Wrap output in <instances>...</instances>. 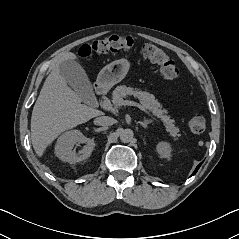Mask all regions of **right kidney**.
Returning <instances> with one entry per match:
<instances>
[{"instance_id": "right-kidney-1", "label": "right kidney", "mask_w": 239, "mask_h": 239, "mask_svg": "<svg viewBox=\"0 0 239 239\" xmlns=\"http://www.w3.org/2000/svg\"><path fill=\"white\" fill-rule=\"evenodd\" d=\"M85 144L77 153L72 150L75 144ZM95 143L79 130H70L62 134L55 145V155L62 161L75 164L90 157Z\"/></svg>"}]
</instances>
